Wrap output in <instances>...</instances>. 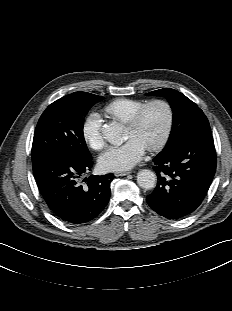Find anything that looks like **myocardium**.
Returning a JSON list of instances; mask_svg holds the SVG:
<instances>
[{
  "mask_svg": "<svg viewBox=\"0 0 232 311\" xmlns=\"http://www.w3.org/2000/svg\"><path fill=\"white\" fill-rule=\"evenodd\" d=\"M155 105H162L167 109L168 121L161 138L154 145L148 147L150 151H158L163 148L171 136L175 122V113L172 105L168 101L163 99H154L147 101L131 116L129 121L125 124L126 129L136 128L143 120L147 111Z\"/></svg>",
  "mask_w": 232,
  "mask_h": 311,
  "instance_id": "1",
  "label": "myocardium"
}]
</instances>
